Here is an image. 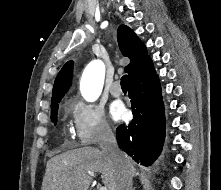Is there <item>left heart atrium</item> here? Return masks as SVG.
<instances>
[{
  "label": "left heart atrium",
  "mask_w": 221,
  "mask_h": 190,
  "mask_svg": "<svg viewBox=\"0 0 221 190\" xmlns=\"http://www.w3.org/2000/svg\"><path fill=\"white\" fill-rule=\"evenodd\" d=\"M110 115L116 121L122 120V119H125V117L127 115V110L124 107L122 102L114 101L110 105Z\"/></svg>",
  "instance_id": "1"
}]
</instances>
